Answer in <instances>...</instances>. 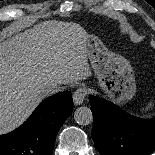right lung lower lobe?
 Here are the masks:
<instances>
[{
  "label": "right lung lower lobe",
  "mask_w": 155,
  "mask_h": 155,
  "mask_svg": "<svg viewBox=\"0 0 155 155\" xmlns=\"http://www.w3.org/2000/svg\"><path fill=\"white\" fill-rule=\"evenodd\" d=\"M72 111L71 92L48 97L23 125L0 136V155H51L58 130Z\"/></svg>",
  "instance_id": "1"
}]
</instances>
